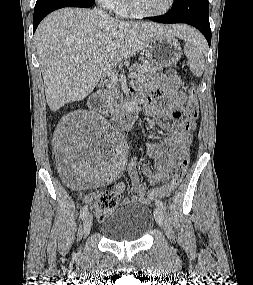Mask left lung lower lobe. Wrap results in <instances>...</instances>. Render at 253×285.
I'll use <instances>...</instances> for the list:
<instances>
[{"mask_svg":"<svg viewBox=\"0 0 253 285\" xmlns=\"http://www.w3.org/2000/svg\"><path fill=\"white\" fill-rule=\"evenodd\" d=\"M173 10L161 16L145 19L159 23H187L197 28L211 44L208 0H176Z\"/></svg>","mask_w":253,"mask_h":285,"instance_id":"1","label":"left lung lower lobe"}]
</instances>
